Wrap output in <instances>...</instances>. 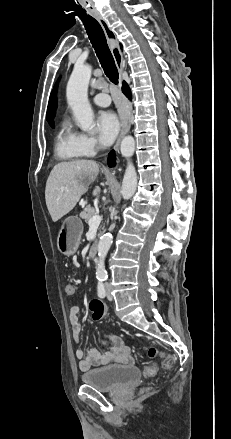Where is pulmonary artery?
<instances>
[{
	"label": "pulmonary artery",
	"mask_w": 231,
	"mask_h": 439,
	"mask_svg": "<svg viewBox=\"0 0 231 439\" xmlns=\"http://www.w3.org/2000/svg\"><path fill=\"white\" fill-rule=\"evenodd\" d=\"M93 102L99 107H107L111 103V98L107 93L102 92L93 97Z\"/></svg>",
	"instance_id": "e3ab8cb5"
}]
</instances>
